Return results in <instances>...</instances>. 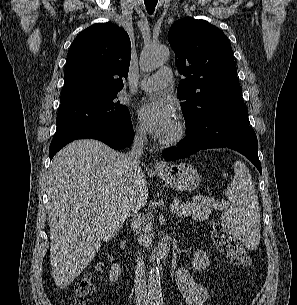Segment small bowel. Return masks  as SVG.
Returning <instances> with one entry per match:
<instances>
[{
	"label": "small bowel",
	"mask_w": 297,
	"mask_h": 305,
	"mask_svg": "<svg viewBox=\"0 0 297 305\" xmlns=\"http://www.w3.org/2000/svg\"><path fill=\"white\" fill-rule=\"evenodd\" d=\"M175 280L188 305H203L208 300V288L197 283L187 269L179 268Z\"/></svg>",
	"instance_id": "small-bowel-1"
}]
</instances>
